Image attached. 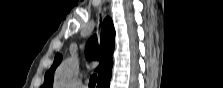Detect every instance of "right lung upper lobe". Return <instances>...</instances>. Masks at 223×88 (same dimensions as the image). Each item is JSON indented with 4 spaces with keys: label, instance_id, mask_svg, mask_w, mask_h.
Returning a JSON list of instances; mask_svg holds the SVG:
<instances>
[{
    "label": "right lung upper lobe",
    "instance_id": "right-lung-upper-lobe-1",
    "mask_svg": "<svg viewBox=\"0 0 223 88\" xmlns=\"http://www.w3.org/2000/svg\"><path fill=\"white\" fill-rule=\"evenodd\" d=\"M115 30L111 18L107 17L103 22L101 45L98 49L97 37L94 35L86 44V57L88 60H99L100 65L98 71V83L111 78V69L113 66L112 53L114 51ZM62 56L57 53L54 63L47 71L44 78L42 88L53 87V75L56 67L61 62Z\"/></svg>",
    "mask_w": 223,
    "mask_h": 88
}]
</instances>
